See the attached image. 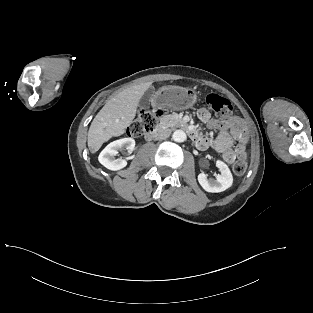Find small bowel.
<instances>
[{
	"mask_svg": "<svg viewBox=\"0 0 313 313\" xmlns=\"http://www.w3.org/2000/svg\"><path fill=\"white\" fill-rule=\"evenodd\" d=\"M197 115L209 129L218 131L214 138H208L197 133L198 137L194 141L198 149L211 148L223 155L230 152L234 158H246V148L250 138L248 128L241 118L230 116L227 119L219 120L212 117L205 108L199 109ZM235 143L236 146L233 148Z\"/></svg>",
	"mask_w": 313,
	"mask_h": 313,
	"instance_id": "obj_1",
	"label": "small bowel"
}]
</instances>
